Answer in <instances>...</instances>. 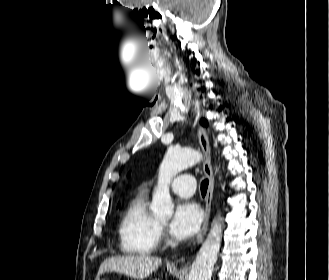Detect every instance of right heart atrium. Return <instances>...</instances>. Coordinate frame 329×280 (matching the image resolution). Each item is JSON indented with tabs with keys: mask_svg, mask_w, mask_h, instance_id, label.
Listing matches in <instances>:
<instances>
[{
	"mask_svg": "<svg viewBox=\"0 0 329 280\" xmlns=\"http://www.w3.org/2000/svg\"><path fill=\"white\" fill-rule=\"evenodd\" d=\"M163 235H164L163 229L159 227V237H163Z\"/></svg>",
	"mask_w": 329,
	"mask_h": 280,
	"instance_id": "obj_1",
	"label": "right heart atrium"
}]
</instances>
